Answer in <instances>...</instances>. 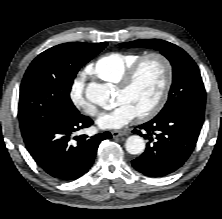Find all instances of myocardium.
I'll list each match as a JSON object with an SVG mask.
<instances>
[{"instance_id":"f54148a6","label":"myocardium","mask_w":222,"mask_h":219,"mask_svg":"<svg viewBox=\"0 0 222 219\" xmlns=\"http://www.w3.org/2000/svg\"><path fill=\"white\" fill-rule=\"evenodd\" d=\"M157 59L159 60L163 67H164V75H165V79H164V84L161 90V93L157 99V101L155 102V104L149 108L147 111L138 114V118L141 120H148L151 119L153 117H155L164 107L169 93H170V89L173 83V65L172 62L170 61V59L160 53V52H151L148 54L143 55L142 57H140L135 63H133L127 70L126 72L123 74V76L121 77L120 81L117 83L118 88L120 90H127L133 83L135 77L137 76L140 68L142 67V65L149 59Z\"/></svg>"}]
</instances>
